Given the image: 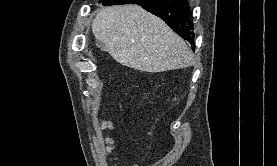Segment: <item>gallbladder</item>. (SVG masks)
<instances>
[{
    "mask_svg": "<svg viewBox=\"0 0 277 166\" xmlns=\"http://www.w3.org/2000/svg\"><path fill=\"white\" fill-rule=\"evenodd\" d=\"M96 45H97L98 47H100L103 51H105V50H106L105 45H104V43H103V42H101V41H97V42H96Z\"/></svg>",
    "mask_w": 277,
    "mask_h": 166,
    "instance_id": "1",
    "label": "gallbladder"
}]
</instances>
